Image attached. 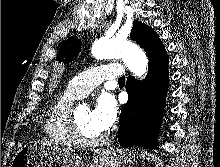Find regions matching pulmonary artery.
Returning a JSON list of instances; mask_svg holds the SVG:
<instances>
[{
	"instance_id": "e3ab8cb5",
	"label": "pulmonary artery",
	"mask_w": 220,
	"mask_h": 167,
	"mask_svg": "<svg viewBox=\"0 0 220 167\" xmlns=\"http://www.w3.org/2000/svg\"><path fill=\"white\" fill-rule=\"evenodd\" d=\"M123 68L120 64L109 63L91 68L76 75L68 86V89L78 97L86 96L104 80L120 79Z\"/></svg>"
}]
</instances>
